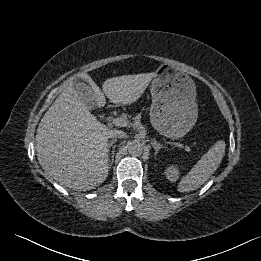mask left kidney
I'll list each match as a JSON object with an SVG mask.
<instances>
[{
  "instance_id": "left-kidney-1",
  "label": "left kidney",
  "mask_w": 261,
  "mask_h": 261,
  "mask_svg": "<svg viewBox=\"0 0 261 261\" xmlns=\"http://www.w3.org/2000/svg\"><path fill=\"white\" fill-rule=\"evenodd\" d=\"M165 176L171 182H176L179 177V171L176 166H169L165 170Z\"/></svg>"
}]
</instances>
